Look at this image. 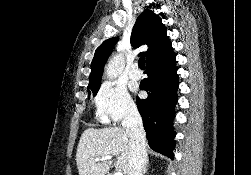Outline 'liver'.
I'll list each match as a JSON object with an SVG mask.
<instances>
[{
	"mask_svg": "<svg viewBox=\"0 0 251 175\" xmlns=\"http://www.w3.org/2000/svg\"><path fill=\"white\" fill-rule=\"evenodd\" d=\"M103 155H118L114 165L126 173L129 167L130 149L129 135L123 127H103V129L88 127L83 131L76 151L79 175H105L113 163L112 159L95 161V157Z\"/></svg>",
	"mask_w": 251,
	"mask_h": 175,
	"instance_id": "1",
	"label": "liver"
}]
</instances>
